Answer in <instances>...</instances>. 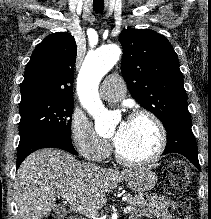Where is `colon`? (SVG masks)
I'll return each instance as SVG.
<instances>
[{"label":"colon","instance_id":"obj_1","mask_svg":"<svg viewBox=\"0 0 211 219\" xmlns=\"http://www.w3.org/2000/svg\"><path fill=\"white\" fill-rule=\"evenodd\" d=\"M165 190L171 206L173 219H190L189 167L181 160L174 161L164 172ZM45 219H59L47 216ZM71 219V218H67Z\"/></svg>","mask_w":211,"mask_h":219}]
</instances>
